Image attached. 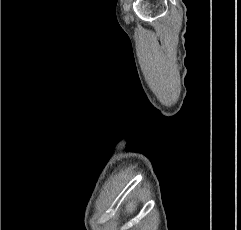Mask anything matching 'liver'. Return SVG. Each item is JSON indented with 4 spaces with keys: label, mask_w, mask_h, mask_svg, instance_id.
Returning <instances> with one entry per match:
<instances>
[{
    "label": "liver",
    "mask_w": 241,
    "mask_h": 230,
    "mask_svg": "<svg viewBox=\"0 0 241 230\" xmlns=\"http://www.w3.org/2000/svg\"><path fill=\"white\" fill-rule=\"evenodd\" d=\"M136 208L135 202H129L126 206V210L128 213H132Z\"/></svg>",
    "instance_id": "obj_1"
}]
</instances>
